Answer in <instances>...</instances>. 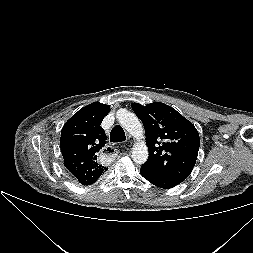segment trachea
<instances>
[{
  "instance_id": "obj_1",
  "label": "trachea",
  "mask_w": 253,
  "mask_h": 253,
  "mask_svg": "<svg viewBox=\"0 0 253 253\" xmlns=\"http://www.w3.org/2000/svg\"><path fill=\"white\" fill-rule=\"evenodd\" d=\"M126 140L125 132L120 125H116L110 133V142L117 143Z\"/></svg>"
}]
</instances>
